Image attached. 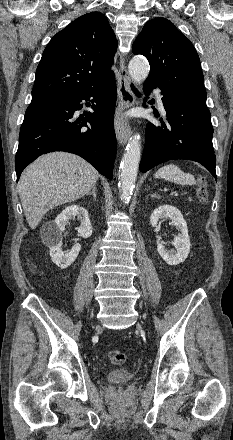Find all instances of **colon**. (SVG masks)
<instances>
[{
    "instance_id": "obj_1",
    "label": "colon",
    "mask_w": 233,
    "mask_h": 440,
    "mask_svg": "<svg viewBox=\"0 0 233 440\" xmlns=\"http://www.w3.org/2000/svg\"><path fill=\"white\" fill-rule=\"evenodd\" d=\"M208 198L209 193L207 188L204 185H200L197 189V199L199 203L203 206L207 205ZM107 355L109 360L114 364H122L126 359V355L119 350H109Z\"/></svg>"
}]
</instances>
